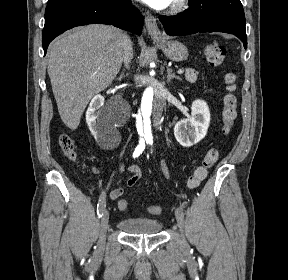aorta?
I'll use <instances>...</instances> for the list:
<instances>
[{
	"mask_svg": "<svg viewBox=\"0 0 288 280\" xmlns=\"http://www.w3.org/2000/svg\"><path fill=\"white\" fill-rule=\"evenodd\" d=\"M153 96V88H146L142 97L141 106H137V115L134 117L135 120H149L152 112ZM136 126H138L136 134L139 136V140H152L153 126H151V121H136Z\"/></svg>",
	"mask_w": 288,
	"mask_h": 280,
	"instance_id": "obj_1",
	"label": "aorta"
}]
</instances>
